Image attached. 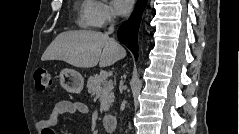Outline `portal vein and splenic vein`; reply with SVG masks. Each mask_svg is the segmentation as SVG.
<instances>
[{"label": "portal vein and splenic vein", "mask_w": 239, "mask_h": 134, "mask_svg": "<svg viewBox=\"0 0 239 134\" xmlns=\"http://www.w3.org/2000/svg\"><path fill=\"white\" fill-rule=\"evenodd\" d=\"M107 77H108V74H107L106 71H101L100 72V79H101V81H105L107 79Z\"/></svg>", "instance_id": "portal-vein-and-splenic-vein-1"}]
</instances>
